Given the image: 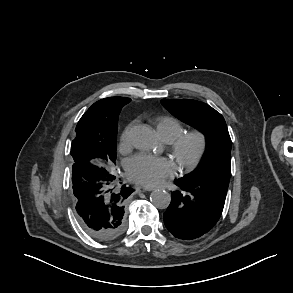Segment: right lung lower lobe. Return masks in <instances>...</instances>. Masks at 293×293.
<instances>
[{"label": "right lung lower lobe", "instance_id": "1", "mask_svg": "<svg viewBox=\"0 0 293 293\" xmlns=\"http://www.w3.org/2000/svg\"><path fill=\"white\" fill-rule=\"evenodd\" d=\"M115 178L96 165L73 164V193L80 225L100 241L116 239L126 227L125 202L134 190L118 186Z\"/></svg>", "mask_w": 293, "mask_h": 293}]
</instances>
